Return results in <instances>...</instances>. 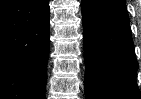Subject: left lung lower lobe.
<instances>
[{"instance_id": "obj_1", "label": "left lung lower lobe", "mask_w": 141, "mask_h": 99, "mask_svg": "<svg viewBox=\"0 0 141 99\" xmlns=\"http://www.w3.org/2000/svg\"><path fill=\"white\" fill-rule=\"evenodd\" d=\"M86 99H141L125 0H82Z\"/></svg>"}]
</instances>
